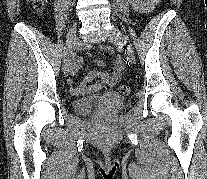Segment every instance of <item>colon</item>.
<instances>
[{"label": "colon", "instance_id": "1", "mask_svg": "<svg viewBox=\"0 0 207 179\" xmlns=\"http://www.w3.org/2000/svg\"><path fill=\"white\" fill-rule=\"evenodd\" d=\"M47 0H30V3L34 9L35 12L37 13H42L45 6H46ZM131 91L130 86L128 84H123L120 87V92L122 94H129Z\"/></svg>", "mask_w": 207, "mask_h": 179}]
</instances>
